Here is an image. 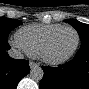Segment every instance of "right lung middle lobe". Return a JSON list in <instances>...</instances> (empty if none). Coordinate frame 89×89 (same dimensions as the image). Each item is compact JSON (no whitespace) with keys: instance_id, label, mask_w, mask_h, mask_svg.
<instances>
[{"instance_id":"1","label":"right lung middle lobe","mask_w":89,"mask_h":89,"mask_svg":"<svg viewBox=\"0 0 89 89\" xmlns=\"http://www.w3.org/2000/svg\"><path fill=\"white\" fill-rule=\"evenodd\" d=\"M21 21L9 19L6 17L0 18V41H7L8 35L17 26L21 25Z\"/></svg>"}]
</instances>
